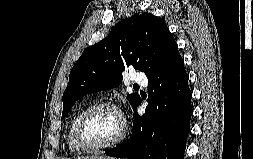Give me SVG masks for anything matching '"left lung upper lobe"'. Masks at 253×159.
I'll use <instances>...</instances> for the list:
<instances>
[{"instance_id": "left-lung-upper-lobe-1", "label": "left lung upper lobe", "mask_w": 253, "mask_h": 159, "mask_svg": "<svg viewBox=\"0 0 253 159\" xmlns=\"http://www.w3.org/2000/svg\"><path fill=\"white\" fill-rule=\"evenodd\" d=\"M178 52L165 22L152 14H137L119 22L99 43L86 48L73 66L63 93L62 119L83 96L118 86L122 72L132 66L147 77L158 72ZM131 104L137 93L127 96Z\"/></svg>"}]
</instances>
